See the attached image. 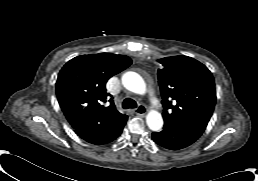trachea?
I'll use <instances>...</instances> for the list:
<instances>
[{"instance_id": "obj_1", "label": "trachea", "mask_w": 258, "mask_h": 181, "mask_svg": "<svg viewBox=\"0 0 258 181\" xmlns=\"http://www.w3.org/2000/svg\"><path fill=\"white\" fill-rule=\"evenodd\" d=\"M122 107L124 109L136 108L137 107V103L133 99H131V98H126L123 101Z\"/></svg>"}]
</instances>
